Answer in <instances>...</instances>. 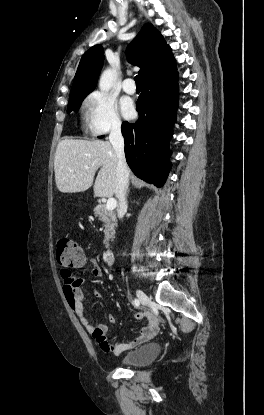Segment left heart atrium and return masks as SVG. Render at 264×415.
I'll return each instance as SVG.
<instances>
[{"instance_id":"left-heart-atrium-1","label":"left heart atrium","mask_w":264,"mask_h":415,"mask_svg":"<svg viewBox=\"0 0 264 415\" xmlns=\"http://www.w3.org/2000/svg\"><path fill=\"white\" fill-rule=\"evenodd\" d=\"M121 111L125 117H131L134 113L132 102L128 99H123L121 101Z\"/></svg>"}]
</instances>
